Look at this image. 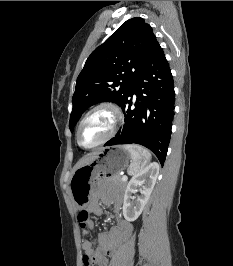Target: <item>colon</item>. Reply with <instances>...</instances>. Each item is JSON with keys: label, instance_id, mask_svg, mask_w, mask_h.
I'll return each instance as SVG.
<instances>
[{"label": "colon", "instance_id": "5ec220e1", "mask_svg": "<svg viewBox=\"0 0 233 266\" xmlns=\"http://www.w3.org/2000/svg\"><path fill=\"white\" fill-rule=\"evenodd\" d=\"M88 220H89L88 212L86 210L80 211L78 214V222H79V225L82 229H85L87 227ZM85 261L88 265L91 264V258L90 257H86Z\"/></svg>", "mask_w": 233, "mask_h": 266}]
</instances>
